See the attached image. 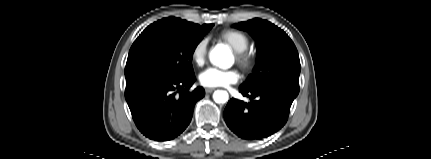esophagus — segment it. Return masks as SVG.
<instances>
[{
    "label": "esophagus",
    "mask_w": 431,
    "mask_h": 159,
    "mask_svg": "<svg viewBox=\"0 0 431 159\" xmlns=\"http://www.w3.org/2000/svg\"><path fill=\"white\" fill-rule=\"evenodd\" d=\"M215 89L214 88H205L206 93H212Z\"/></svg>",
    "instance_id": "esophagus-1"
}]
</instances>
